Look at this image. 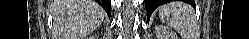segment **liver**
I'll return each instance as SVG.
<instances>
[{
	"label": "liver",
	"instance_id": "6515ba94",
	"mask_svg": "<svg viewBox=\"0 0 249 39\" xmlns=\"http://www.w3.org/2000/svg\"><path fill=\"white\" fill-rule=\"evenodd\" d=\"M72 33L83 39L104 20L105 11L93 0H72Z\"/></svg>",
	"mask_w": 249,
	"mask_h": 39
}]
</instances>
